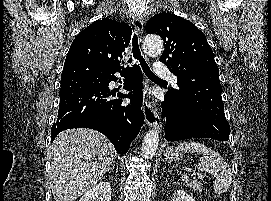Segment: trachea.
Masks as SVG:
<instances>
[{
	"label": "trachea",
	"mask_w": 271,
	"mask_h": 201,
	"mask_svg": "<svg viewBox=\"0 0 271 201\" xmlns=\"http://www.w3.org/2000/svg\"><path fill=\"white\" fill-rule=\"evenodd\" d=\"M132 53L133 57L137 59L140 62V65L145 73V75L150 79H158L161 80L159 77H157L151 70L148 64L146 63L145 59L141 55L139 45H138V37L136 34H134L132 39Z\"/></svg>",
	"instance_id": "1"
}]
</instances>
